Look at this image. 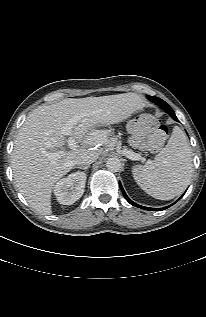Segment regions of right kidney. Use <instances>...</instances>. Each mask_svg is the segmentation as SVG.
I'll return each mask as SVG.
<instances>
[{
	"instance_id": "obj_1",
	"label": "right kidney",
	"mask_w": 206,
	"mask_h": 317,
	"mask_svg": "<svg viewBox=\"0 0 206 317\" xmlns=\"http://www.w3.org/2000/svg\"><path fill=\"white\" fill-rule=\"evenodd\" d=\"M86 179V174L78 171L59 180L54 187L57 201L63 205H71L80 199L84 193Z\"/></svg>"
}]
</instances>
